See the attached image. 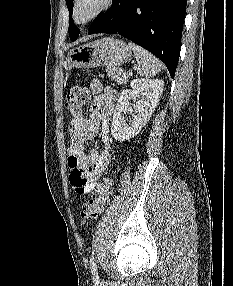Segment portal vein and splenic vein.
<instances>
[{
	"instance_id": "1",
	"label": "portal vein and splenic vein",
	"mask_w": 233,
	"mask_h": 286,
	"mask_svg": "<svg viewBox=\"0 0 233 286\" xmlns=\"http://www.w3.org/2000/svg\"><path fill=\"white\" fill-rule=\"evenodd\" d=\"M124 76H125V77H128V75H127L126 73H124Z\"/></svg>"
}]
</instances>
